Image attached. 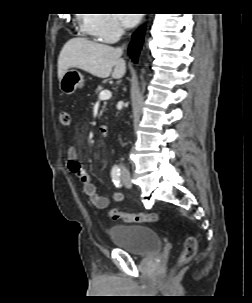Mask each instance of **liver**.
Instances as JSON below:
<instances>
[{"mask_svg":"<svg viewBox=\"0 0 252 303\" xmlns=\"http://www.w3.org/2000/svg\"><path fill=\"white\" fill-rule=\"evenodd\" d=\"M118 49L85 38H72L63 46L58 58V79L70 68L84 70L96 77L122 78L126 63ZM114 68V69H113Z\"/></svg>","mask_w":252,"mask_h":303,"instance_id":"obj_1","label":"liver"}]
</instances>
